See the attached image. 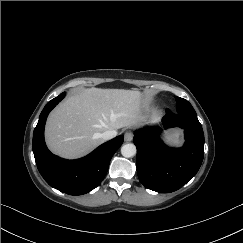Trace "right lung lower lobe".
<instances>
[{
  "mask_svg": "<svg viewBox=\"0 0 243 243\" xmlns=\"http://www.w3.org/2000/svg\"><path fill=\"white\" fill-rule=\"evenodd\" d=\"M64 96L59 95L49 101L41 112L33 134V153L40 174L51 187L70 195H82L100 185L112 156L124 138L117 136L77 160H65L53 155L45 145L44 126L49 112Z\"/></svg>",
  "mask_w": 243,
  "mask_h": 243,
  "instance_id": "right-lung-lower-lobe-1",
  "label": "right lung lower lobe"
}]
</instances>
